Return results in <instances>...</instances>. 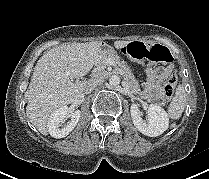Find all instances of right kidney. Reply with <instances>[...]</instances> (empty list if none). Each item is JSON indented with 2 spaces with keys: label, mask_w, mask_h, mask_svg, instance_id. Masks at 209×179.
Here are the masks:
<instances>
[{
  "label": "right kidney",
  "mask_w": 209,
  "mask_h": 179,
  "mask_svg": "<svg viewBox=\"0 0 209 179\" xmlns=\"http://www.w3.org/2000/svg\"><path fill=\"white\" fill-rule=\"evenodd\" d=\"M80 115V110H76L69 114L67 106H62L58 108L49 117L47 123L49 134L57 139L66 137L76 127L80 119ZM68 118L71 119L69 124H67L63 128H59L60 124L65 122Z\"/></svg>",
  "instance_id": "1"
}]
</instances>
